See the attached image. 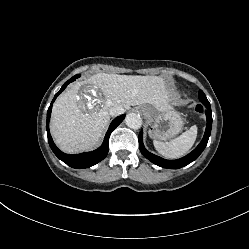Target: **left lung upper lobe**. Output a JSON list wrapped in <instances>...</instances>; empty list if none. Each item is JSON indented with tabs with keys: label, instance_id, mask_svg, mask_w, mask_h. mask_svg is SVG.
Masks as SVG:
<instances>
[{
	"label": "left lung upper lobe",
	"instance_id": "obj_1",
	"mask_svg": "<svg viewBox=\"0 0 249 249\" xmlns=\"http://www.w3.org/2000/svg\"><path fill=\"white\" fill-rule=\"evenodd\" d=\"M203 95H204L203 91L200 90V91H199V99H200V97L203 96Z\"/></svg>",
	"mask_w": 249,
	"mask_h": 249
}]
</instances>
